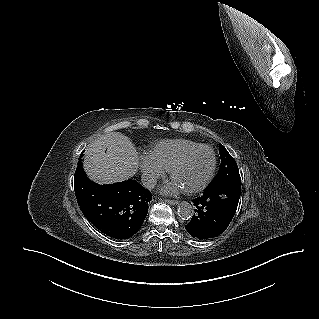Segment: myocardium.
I'll list each match as a JSON object with an SVG mask.
<instances>
[{"label":"myocardium","mask_w":319,"mask_h":319,"mask_svg":"<svg viewBox=\"0 0 319 319\" xmlns=\"http://www.w3.org/2000/svg\"><path fill=\"white\" fill-rule=\"evenodd\" d=\"M200 149L210 150V152L212 153V165H211V168H210V171H209L207 177L205 178V180L201 184H199L198 186H196L192 189L184 190L189 195L197 194V193L203 191L211 183V181L214 177L215 171H216V167H217V156H216L215 150L207 144H199L193 148L186 150L184 153H182L176 159V161L171 165V167L169 169L170 177L173 179L174 173L177 171V169H179L187 161V159L191 155H193L195 152H197Z\"/></svg>","instance_id":"f54148a6"}]
</instances>
